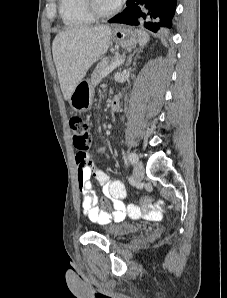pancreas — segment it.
I'll list each match as a JSON object with an SVG mask.
<instances>
[{"instance_id": "obj_1", "label": "pancreas", "mask_w": 227, "mask_h": 298, "mask_svg": "<svg viewBox=\"0 0 227 298\" xmlns=\"http://www.w3.org/2000/svg\"><path fill=\"white\" fill-rule=\"evenodd\" d=\"M119 57L120 56H116V57H114L113 60H115ZM112 61H109V59L107 57H105L97 64L94 72L91 75V83L94 87L100 83V81L102 80V75H103L105 69L112 63Z\"/></svg>"}]
</instances>
